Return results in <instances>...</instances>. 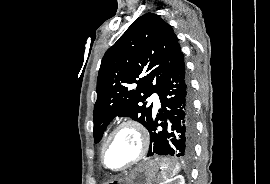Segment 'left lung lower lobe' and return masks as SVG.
<instances>
[{"instance_id":"0a47b994","label":"left lung lower lobe","mask_w":270,"mask_h":184,"mask_svg":"<svg viewBox=\"0 0 270 184\" xmlns=\"http://www.w3.org/2000/svg\"><path fill=\"white\" fill-rule=\"evenodd\" d=\"M157 93L162 109L147 128L150 133L147 156H170L188 161L194 153L196 129L182 52L170 67ZM158 121L162 122L158 124ZM158 126L161 127L159 130Z\"/></svg>"}]
</instances>
